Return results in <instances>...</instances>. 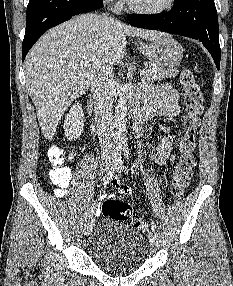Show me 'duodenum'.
Segmentation results:
<instances>
[{
  "instance_id": "obj_1",
  "label": "duodenum",
  "mask_w": 233,
  "mask_h": 286,
  "mask_svg": "<svg viewBox=\"0 0 233 286\" xmlns=\"http://www.w3.org/2000/svg\"><path fill=\"white\" fill-rule=\"evenodd\" d=\"M89 113L94 116V108H93V104L92 102L89 103V107H88ZM132 117L134 119V121L137 124H142L144 121H146V116L144 115L142 109L140 108V106L137 103H134L132 105Z\"/></svg>"
}]
</instances>
